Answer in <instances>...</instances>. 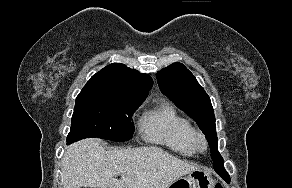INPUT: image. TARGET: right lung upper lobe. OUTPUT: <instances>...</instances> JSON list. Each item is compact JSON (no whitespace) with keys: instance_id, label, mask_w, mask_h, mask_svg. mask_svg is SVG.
<instances>
[{"instance_id":"1","label":"right lung upper lobe","mask_w":292,"mask_h":188,"mask_svg":"<svg viewBox=\"0 0 292 188\" xmlns=\"http://www.w3.org/2000/svg\"><path fill=\"white\" fill-rule=\"evenodd\" d=\"M85 86L119 90L145 99L153 86V80L149 75L141 74L124 64L113 63L93 75Z\"/></svg>"}]
</instances>
